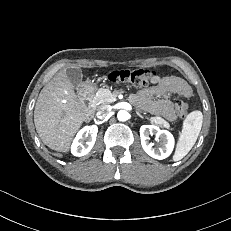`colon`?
<instances>
[{
    "mask_svg": "<svg viewBox=\"0 0 231 231\" xmlns=\"http://www.w3.org/2000/svg\"><path fill=\"white\" fill-rule=\"evenodd\" d=\"M156 77L157 72L155 70L142 68L116 70L109 74L111 81L124 83L134 88L144 87ZM175 109L180 118L187 116L188 108L185 102L177 101Z\"/></svg>",
    "mask_w": 231,
    "mask_h": 231,
    "instance_id": "5ec220e1",
    "label": "colon"
}]
</instances>
